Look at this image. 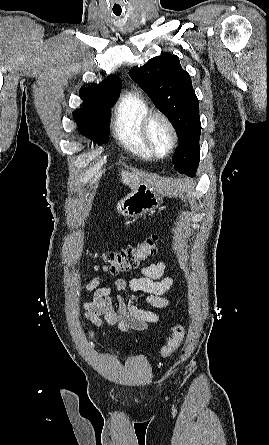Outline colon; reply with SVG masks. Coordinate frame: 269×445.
I'll return each mask as SVG.
<instances>
[{"label": "colon", "mask_w": 269, "mask_h": 445, "mask_svg": "<svg viewBox=\"0 0 269 445\" xmlns=\"http://www.w3.org/2000/svg\"><path fill=\"white\" fill-rule=\"evenodd\" d=\"M160 236L152 234L144 241L133 247L123 248L117 251H107L95 254L103 262V267L110 273H119L135 269L140 262L157 253ZM185 336V328L182 325L174 327L173 332L160 350L162 357H168L180 346Z\"/></svg>", "instance_id": "colon-1"}]
</instances>
